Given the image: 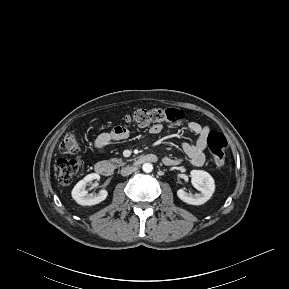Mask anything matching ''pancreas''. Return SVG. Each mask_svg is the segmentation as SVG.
Here are the masks:
<instances>
[{
  "label": "pancreas",
  "instance_id": "1",
  "mask_svg": "<svg viewBox=\"0 0 289 289\" xmlns=\"http://www.w3.org/2000/svg\"><path fill=\"white\" fill-rule=\"evenodd\" d=\"M111 162H113V163H117V164H119V165H123L124 163L122 162V159H118V158H113V159H111Z\"/></svg>",
  "mask_w": 289,
  "mask_h": 289
}]
</instances>
